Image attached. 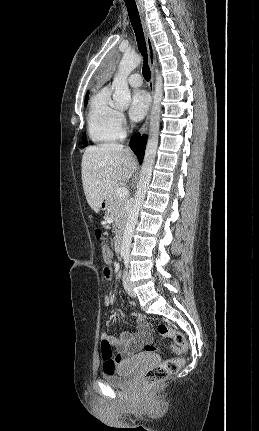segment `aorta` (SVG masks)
<instances>
[{
    "label": "aorta",
    "instance_id": "1",
    "mask_svg": "<svg viewBox=\"0 0 259 431\" xmlns=\"http://www.w3.org/2000/svg\"><path fill=\"white\" fill-rule=\"evenodd\" d=\"M142 57L139 55L124 54L119 63L118 71L113 79L115 88L113 94L114 107L124 109L129 106L131 94L127 82L130 73L141 63ZM163 97V81L158 71H156V83L154 91V101L150 116L149 139L147 142L144 161L141 168L140 180L137 185V192L129 211L126 227L121 245V255L127 256L130 252L131 240L135 225L138 220L139 211L143 205L145 195L151 180L152 169L155 161L158 134L160 125L161 101Z\"/></svg>",
    "mask_w": 259,
    "mask_h": 431
}]
</instances>
